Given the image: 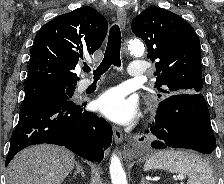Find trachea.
<instances>
[{
  "label": "trachea",
  "instance_id": "obj_1",
  "mask_svg": "<svg viewBox=\"0 0 224 184\" xmlns=\"http://www.w3.org/2000/svg\"><path fill=\"white\" fill-rule=\"evenodd\" d=\"M120 49H121V32L118 25H113L110 28L107 48L104 54V58L98 68L94 70V78L98 79L101 77L102 74H104L111 65H114L116 67L121 66V60H120ZM83 71L89 72L90 68L85 65L83 67Z\"/></svg>",
  "mask_w": 224,
  "mask_h": 184
}]
</instances>
